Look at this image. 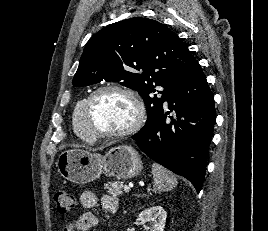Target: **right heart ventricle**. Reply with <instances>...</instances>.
<instances>
[{
  "instance_id": "e07e8e85",
  "label": "right heart ventricle",
  "mask_w": 268,
  "mask_h": 231,
  "mask_svg": "<svg viewBox=\"0 0 268 231\" xmlns=\"http://www.w3.org/2000/svg\"><path fill=\"white\" fill-rule=\"evenodd\" d=\"M85 100V98H82L76 103L72 111V125L74 132L78 137H80L84 141H90L92 139L85 128L83 120V105Z\"/></svg>"
}]
</instances>
